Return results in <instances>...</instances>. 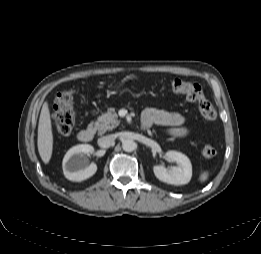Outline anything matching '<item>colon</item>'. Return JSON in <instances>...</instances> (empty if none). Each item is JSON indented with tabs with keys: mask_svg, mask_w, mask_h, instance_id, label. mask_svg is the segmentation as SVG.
Instances as JSON below:
<instances>
[{
	"mask_svg": "<svg viewBox=\"0 0 261 254\" xmlns=\"http://www.w3.org/2000/svg\"><path fill=\"white\" fill-rule=\"evenodd\" d=\"M170 90L175 94H183L189 101L197 103L200 113L206 120L215 121L218 118L215 107L205 97L200 84L174 79L170 84ZM74 94L73 89H66L58 93L54 101L53 124L57 132L63 136L69 135L74 127ZM216 153V149L211 145L205 146L202 150L206 158H212Z\"/></svg>",
	"mask_w": 261,
	"mask_h": 254,
	"instance_id": "5ec220e1",
	"label": "colon"
}]
</instances>
